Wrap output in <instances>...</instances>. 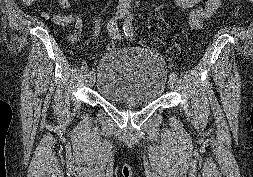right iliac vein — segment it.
<instances>
[{
    "mask_svg": "<svg viewBox=\"0 0 253 177\" xmlns=\"http://www.w3.org/2000/svg\"><path fill=\"white\" fill-rule=\"evenodd\" d=\"M117 14H118L119 18H122L124 16V14H125V10L124 9H119ZM88 84L91 87L95 84V76H94V74H92L91 76H89Z\"/></svg>",
    "mask_w": 253,
    "mask_h": 177,
    "instance_id": "63e3f726",
    "label": "right iliac vein"
}]
</instances>
